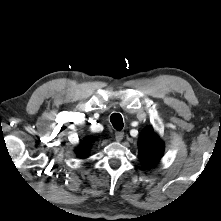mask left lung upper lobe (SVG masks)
I'll list each match as a JSON object with an SVG mask.
<instances>
[{
    "label": "left lung upper lobe",
    "mask_w": 221,
    "mask_h": 221,
    "mask_svg": "<svg viewBox=\"0 0 221 221\" xmlns=\"http://www.w3.org/2000/svg\"><path fill=\"white\" fill-rule=\"evenodd\" d=\"M164 145L151 126L145 128L139 139L140 160L145 168H151L162 157Z\"/></svg>",
    "instance_id": "left-lung-upper-lobe-1"
}]
</instances>
